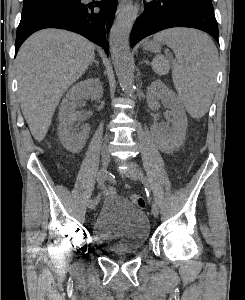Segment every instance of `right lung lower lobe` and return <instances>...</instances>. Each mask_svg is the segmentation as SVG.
Returning <instances> with one entry per match:
<instances>
[{"label":"right lung lower lobe","instance_id":"1","mask_svg":"<svg viewBox=\"0 0 245 300\" xmlns=\"http://www.w3.org/2000/svg\"><path fill=\"white\" fill-rule=\"evenodd\" d=\"M116 8V0H82L23 17L17 29L15 54L32 33L44 28L76 32L103 47L109 54L107 36Z\"/></svg>","mask_w":245,"mask_h":300}]
</instances>
